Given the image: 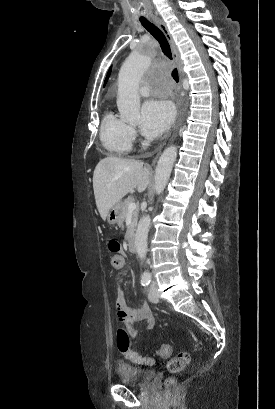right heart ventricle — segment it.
Instances as JSON below:
<instances>
[{"instance_id": "1", "label": "right heart ventricle", "mask_w": 275, "mask_h": 409, "mask_svg": "<svg viewBox=\"0 0 275 409\" xmlns=\"http://www.w3.org/2000/svg\"><path fill=\"white\" fill-rule=\"evenodd\" d=\"M100 141L110 155L115 157L127 155L133 143L131 127L112 112H108L101 122Z\"/></svg>"}]
</instances>
